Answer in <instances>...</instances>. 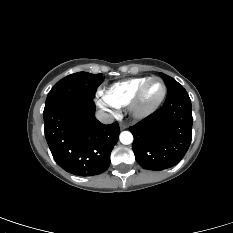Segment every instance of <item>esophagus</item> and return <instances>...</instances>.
Segmentation results:
<instances>
[{"label": "esophagus", "instance_id": "34e87169", "mask_svg": "<svg viewBox=\"0 0 233 233\" xmlns=\"http://www.w3.org/2000/svg\"><path fill=\"white\" fill-rule=\"evenodd\" d=\"M127 128V125L126 124H124V123H121L120 124V129L121 130H124V129H126Z\"/></svg>", "mask_w": 233, "mask_h": 233}]
</instances>
